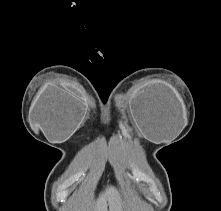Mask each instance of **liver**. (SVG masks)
<instances>
[{"label":"liver","instance_id":"6515ba94","mask_svg":"<svg viewBox=\"0 0 221 211\" xmlns=\"http://www.w3.org/2000/svg\"><path fill=\"white\" fill-rule=\"evenodd\" d=\"M107 202L109 211H122L118 191L114 187H108L101 193L96 201L94 211H107Z\"/></svg>","mask_w":221,"mask_h":211}]
</instances>
